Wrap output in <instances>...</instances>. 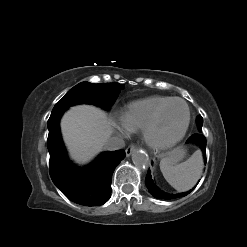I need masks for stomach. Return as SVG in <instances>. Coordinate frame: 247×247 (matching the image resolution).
<instances>
[{"instance_id":"0dacf381","label":"stomach","mask_w":247,"mask_h":247,"mask_svg":"<svg viewBox=\"0 0 247 247\" xmlns=\"http://www.w3.org/2000/svg\"><path fill=\"white\" fill-rule=\"evenodd\" d=\"M185 155L186 150L182 146H179L168 153L169 158H171L174 163L181 161Z\"/></svg>"}]
</instances>
